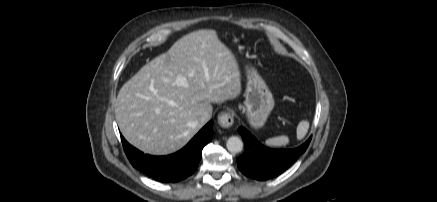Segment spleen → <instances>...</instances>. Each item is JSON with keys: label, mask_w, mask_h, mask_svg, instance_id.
<instances>
[{"label": "spleen", "mask_w": 437, "mask_h": 202, "mask_svg": "<svg viewBox=\"0 0 437 202\" xmlns=\"http://www.w3.org/2000/svg\"><path fill=\"white\" fill-rule=\"evenodd\" d=\"M309 129L308 121H301L297 126V139L301 140L305 137ZM289 143V138L285 135L269 138L265 141V145L270 147L286 146Z\"/></svg>", "instance_id": "1"}]
</instances>
